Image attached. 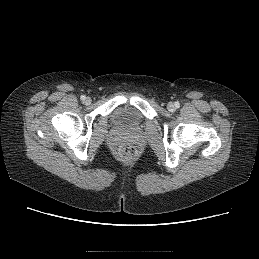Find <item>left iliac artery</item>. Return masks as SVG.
<instances>
[{"instance_id":"44dca946","label":"left iliac artery","mask_w":259,"mask_h":259,"mask_svg":"<svg viewBox=\"0 0 259 259\" xmlns=\"http://www.w3.org/2000/svg\"><path fill=\"white\" fill-rule=\"evenodd\" d=\"M175 106H176V107H179V103H178V102H175Z\"/></svg>"}]
</instances>
